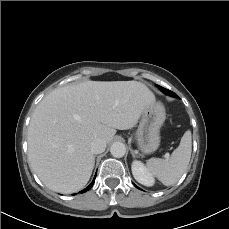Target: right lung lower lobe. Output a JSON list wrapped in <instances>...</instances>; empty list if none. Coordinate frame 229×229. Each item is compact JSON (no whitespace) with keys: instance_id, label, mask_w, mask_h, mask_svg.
<instances>
[{"instance_id":"1","label":"right lung lower lobe","mask_w":229,"mask_h":229,"mask_svg":"<svg viewBox=\"0 0 229 229\" xmlns=\"http://www.w3.org/2000/svg\"><path fill=\"white\" fill-rule=\"evenodd\" d=\"M94 181H95V178H94V180L92 181V183H91L87 188H85L84 190H82L80 193H83V192H86L87 190H89V189L93 186Z\"/></svg>"}]
</instances>
